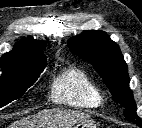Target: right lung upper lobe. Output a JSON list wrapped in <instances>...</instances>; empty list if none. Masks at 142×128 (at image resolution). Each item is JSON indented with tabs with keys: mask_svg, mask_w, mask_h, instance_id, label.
Masks as SVG:
<instances>
[{
	"mask_svg": "<svg viewBox=\"0 0 142 128\" xmlns=\"http://www.w3.org/2000/svg\"><path fill=\"white\" fill-rule=\"evenodd\" d=\"M42 41L25 39L16 43L14 49L1 58L2 76L0 79L13 78L33 64L46 61Z\"/></svg>",
	"mask_w": 142,
	"mask_h": 128,
	"instance_id": "right-lung-upper-lobe-1",
	"label": "right lung upper lobe"
}]
</instances>
